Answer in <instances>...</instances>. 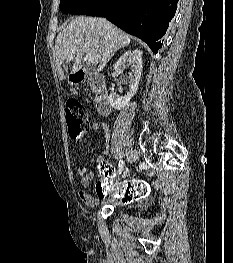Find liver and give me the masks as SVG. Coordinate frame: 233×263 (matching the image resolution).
Returning <instances> with one entry per match:
<instances>
[{
	"label": "liver",
	"instance_id": "obj_1",
	"mask_svg": "<svg viewBox=\"0 0 233 263\" xmlns=\"http://www.w3.org/2000/svg\"><path fill=\"white\" fill-rule=\"evenodd\" d=\"M129 35L103 18L76 17L61 31L55 41L56 69L65 79L62 64L73 61L71 73L81 69L84 53L95 56L102 71L114 53L130 44Z\"/></svg>",
	"mask_w": 233,
	"mask_h": 263
}]
</instances>
